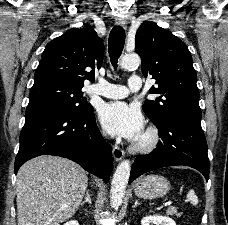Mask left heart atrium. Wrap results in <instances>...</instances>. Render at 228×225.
I'll use <instances>...</instances> for the list:
<instances>
[{"label": "left heart atrium", "mask_w": 228, "mask_h": 225, "mask_svg": "<svg viewBox=\"0 0 228 225\" xmlns=\"http://www.w3.org/2000/svg\"><path fill=\"white\" fill-rule=\"evenodd\" d=\"M99 119L104 130L111 136L135 141L142 135L143 117L141 113L125 102L105 104L100 110Z\"/></svg>", "instance_id": "left-heart-atrium-1"}]
</instances>
